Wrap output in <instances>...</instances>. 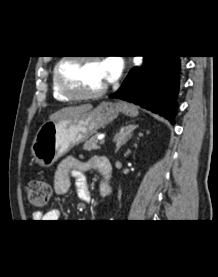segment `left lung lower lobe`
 <instances>
[{"instance_id":"left-lung-lower-lobe-1","label":"left lung lower lobe","mask_w":218,"mask_h":277,"mask_svg":"<svg viewBox=\"0 0 218 277\" xmlns=\"http://www.w3.org/2000/svg\"><path fill=\"white\" fill-rule=\"evenodd\" d=\"M180 56H146L134 67L111 98L123 99L151 110L174 124L179 89Z\"/></svg>"}]
</instances>
